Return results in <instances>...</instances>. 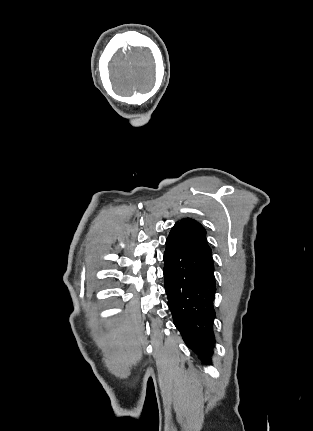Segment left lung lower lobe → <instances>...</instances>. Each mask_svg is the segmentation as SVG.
<instances>
[{"label": "left lung lower lobe", "instance_id": "obj_1", "mask_svg": "<svg viewBox=\"0 0 313 431\" xmlns=\"http://www.w3.org/2000/svg\"><path fill=\"white\" fill-rule=\"evenodd\" d=\"M212 252L207 243L174 226L164 253L165 291L174 325L204 364H211L215 338L216 291Z\"/></svg>", "mask_w": 313, "mask_h": 431}]
</instances>
